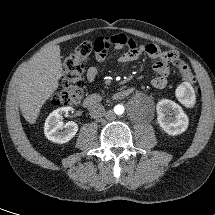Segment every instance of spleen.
<instances>
[{"label":"spleen","mask_w":215,"mask_h":215,"mask_svg":"<svg viewBox=\"0 0 215 215\" xmlns=\"http://www.w3.org/2000/svg\"><path fill=\"white\" fill-rule=\"evenodd\" d=\"M188 87L186 85H182L179 87L178 92L184 93L185 91H187ZM188 104H191L193 102V97H191L190 100L187 101Z\"/></svg>","instance_id":"3e777b00"}]
</instances>
